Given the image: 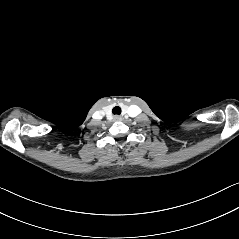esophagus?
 <instances>
[{"instance_id": "obj_1", "label": "esophagus", "mask_w": 239, "mask_h": 239, "mask_svg": "<svg viewBox=\"0 0 239 239\" xmlns=\"http://www.w3.org/2000/svg\"><path fill=\"white\" fill-rule=\"evenodd\" d=\"M114 120L120 121V120H122V116L116 115V116H114Z\"/></svg>"}]
</instances>
